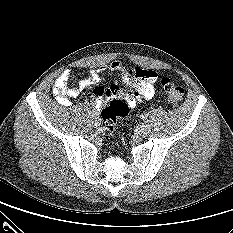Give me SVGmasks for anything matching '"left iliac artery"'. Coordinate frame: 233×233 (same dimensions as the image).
I'll list each match as a JSON object with an SVG mask.
<instances>
[{
  "label": "left iliac artery",
  "mask_w": 233,
  "mask_h": 233,
  "mask_svg": "<svg viewBox=\"0 0 233 233\" xmlns=\"http://www.w3.org/2000/svg\"><path fill=\"white\" fill-rule=\"evenodd\" d=\"M141 119L145 120L146 119V115H141Z\"/></svg>",
  "instance_id": "44dca946"
}]
</instances>
